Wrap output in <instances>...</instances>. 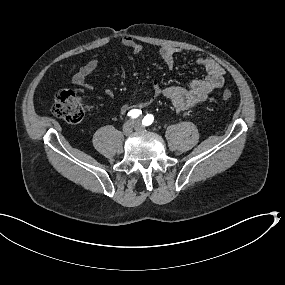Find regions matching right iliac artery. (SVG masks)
I'll return each instance as SVG.
<instances>
[{"label": "right iliac artery", "mask_w": 285, "mask_h": 285, "mask_svg": "<svg viewBox=\"0 0 285 285\" xmlns=\"http://www.w3.org/2000/svg\"><path fill=\"white\" fill-rule=\"evenodd\" d=\"M140 114H142V111L139 109H133L128 112V116H131V118H137L138 116H140Z\"/></svg>", "instance_id": "obj_1"}]
</instances>
